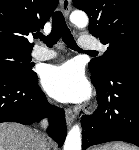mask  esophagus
<instances>
[{
  "mask_svg": "<svg viewBox=\"0 0 139 150\" xmlns=\"http://www.w3.org/2000/svg\"><path fill=\"white\" fill-rule=\"evenodd\" d=\"M60 8L65 18H68L71 9V0H60ZM76 115L71 109H66V123L70 127L73 121L75 120Z\"/></svg>",
  "mask_w": 139,
  "mask_h": 150,
  "instance_id": "1",
  "label": "esophagus"
}]
</instances>
